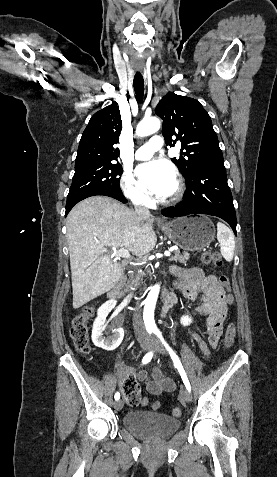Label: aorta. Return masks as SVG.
Wrapping results in <instances>:
<instances>
[{"instance_id": "1", "label": "aorta", "mask_w": 277, "mask_h": 477, "mask_svg": "<svg viewBox=\"0 0 277 477\" xmlns=\"http://www.w3.org/2000/svg\"><path fill=\"white\" fill-rule=\"evenodd\" d=\"M160 120L156 117H151L143 119L136 128V135L139 137H144L150 134L157 132L160 129ZM160 286L155 285L151 288L147 298L145 299L143 318L146 326L148 328H154V310L159 295Z\"/></svg>"}]
</instances>
